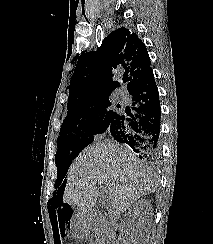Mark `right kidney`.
<instances>
[{"label": "right kidney", "instance_id": "right-kidney-1", "mask_svg": "<svg viewBox=\"0 0 213 244\" xmlns=\"http://www.w3.org/2000/svg\"><path fill=\"white\" fill-rule=\"evenodd\" d=\"M144 208H150V202H148L146 199L141 198L137 202L134 203L132 209H130L125 217V219H129L131 216L138 215L139 211Z\"/></svg>", "mask_w": 213, "mask_h": 244}]
</instances>
